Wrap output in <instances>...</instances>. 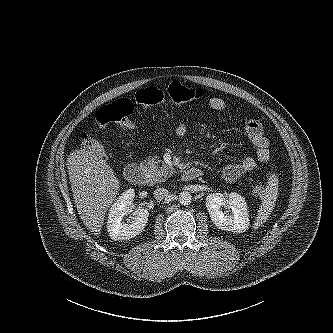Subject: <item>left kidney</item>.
I'll use <instances>...</instances> for the list:
<instances>
[{"mask_svg": "<svg viewBox=\"0 0 333 333\" xmlns=\"http://www.w3.org/2000/svg\"><path fill=\"white\" fill-rule=\"evenodd\" d=\"M206 208L215 226L224 231L241 233L248 229L247 203L240 194L232 192L228 198L221 193L206 197Z\"/></svg>", "mask_w": 333, "mask_h": 333, "instance_id": "1", "label": "left kidney"}]
</instances>
